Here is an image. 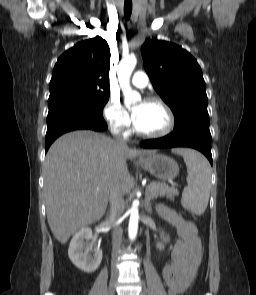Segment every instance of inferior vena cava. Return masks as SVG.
I'll list each match as a JSON object with an SVG mask.
<instances>
[{"label": "inferior vena cava", "instance_id": "602c4592", "mask_svg": "<svg viewBox=\"0 0 256 295\" xmlns=\"http://www.w3.org/2000/svg\"><path fill=\"white\" fill-rule=\"evenodd\" d=\"M113 135L116 136L118 143L122 147H126V141L120 137L119 129L117 127L111 128ZM109 202H110V219L112 223H115L121 212H122V197L124 195L122 186L118 180H114L110 187L109 192ZM122 241V229L119 226H115L112 233V255L113 258L117 256L121 249Z\"/></svg>", "mask_w": 256, "mask_h": 295}]
</instances>
